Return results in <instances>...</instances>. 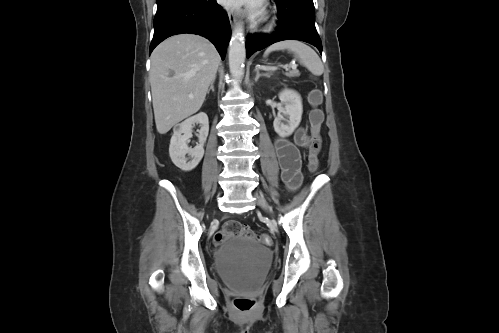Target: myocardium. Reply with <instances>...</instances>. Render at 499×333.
<instances>
[{"mask_svg":"<svg viewBox=\"0 0 499 333\" xmlns=\"http://www.w3.org/2000/svg\"><path fill=\"white\" fill-rule=\"evenodd\" d=\"M271 27H272L271 25H268V26H267V28H268V29H271Z\"/></svg>","mask_w":499,"mask_h":333,"instance_id":"1","label":"myocardium"}]
</instances>
